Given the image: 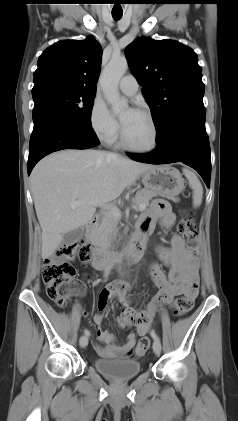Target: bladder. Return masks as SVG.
Wrapping results in <instances>:
<instances>
[{"label":"bladder","instance_id":"bladder-1","mask_svg":"<svg viewBox=\"0 0 238 421\" xmlns=\"http://www.w3.org/2000/svg\"><path fill=\"white\" fill-rule=\"evenodd\" d=\"M94 366L101 374L118 381H125L136 377L142 369L137 360L123 358H97Z\"/></svg>","mask_w":238,"mask_h":421}]
</instances>
